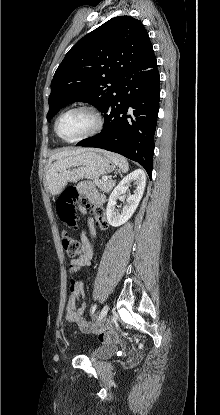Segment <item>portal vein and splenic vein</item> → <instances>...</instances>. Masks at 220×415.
Instances as JSON below:
<instances>
[{"label": "portal vein and splenic vein", "instance_id": "portal-vein-and-splenic-vein-1", "mask_svg": "<svg viewBox=\"0 0 220 415\" xmlns=\"http://www.w3.org/2000/svg\"><path fill=\"white\" fill-rule=\"evenodd\" d=\"M102 180L107 181L108 177H102Z\"/></svg>", "mask_w": 220, "mask_h": 415}]
</instances>
